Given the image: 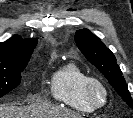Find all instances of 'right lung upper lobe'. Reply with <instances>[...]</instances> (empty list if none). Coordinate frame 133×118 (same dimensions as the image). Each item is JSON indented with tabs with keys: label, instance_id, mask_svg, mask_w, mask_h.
Returning a JSON list of instances; mask_svg holds the SVG:
<instances>
[{
	"label": "right lung upper lobe",
	"instance_id": "1",
	"mask_svg": "<svg viewBox=\"0 0 133 118\" xmlns=\"http://www.w3.org/2000/svg\"><path fill=\"white\" fill-rule=\"evenodd\" d=\"M36 39H22L18 35L0 43V67H12L27 63L36 47Z\"/></svg>",
	"mask_w": 133,
	"mask_h": 118
}]
</instances>
